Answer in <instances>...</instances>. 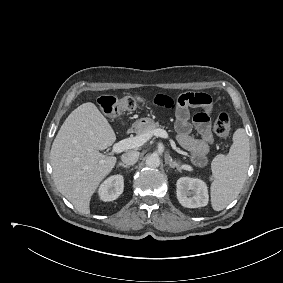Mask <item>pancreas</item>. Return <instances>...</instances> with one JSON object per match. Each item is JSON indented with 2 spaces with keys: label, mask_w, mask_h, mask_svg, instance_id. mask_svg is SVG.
<instances>
[{
  "label": "pancreas",
  "mask_w": 283,
  "mask_h": 283,
  "mask_svg": "<svg viewBox=\"0 0 283 283\" xmlns=\"http://www.w3.org/2000/svg\"><path fill=\"white\" fill-rule=\"evenodd\" d=\"M159 127H161V125L158 122H153L145 130H143L142 132H139V134L142 135V134L151 133L153 130L158 129Z\"/></svg>",
  "instance_id": "pancreas-1"
}]
</instances>
